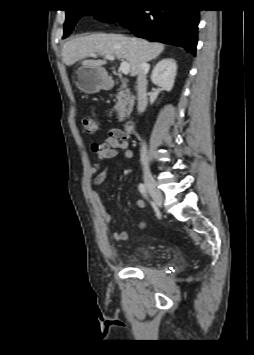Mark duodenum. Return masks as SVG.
Returning a JSON list of instances; mask_svg holds the SVG:
<instances>
[{
	"label": "duodenum",
	"instance_id": "410a0bca",
	"mask_svg": "<svg viewBox=\"0 0 254 355\" xmlns=\"http://www.w3.org/2000/svg\"><path fill=\"white\" fill-rule=\"evenodd\" d=\"M124 131L127 133V134H132L134 133L135 131V123L133 121H127L125 124H124Z\"/></svg>",
	"mask_w": 254,
	"mask_h": 355
}]
</instances>
